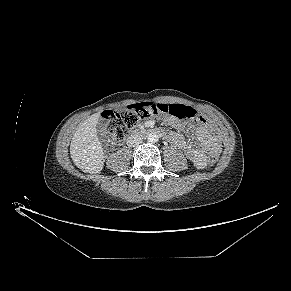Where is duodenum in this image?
<instances>
[{
    "label": "duodenum",
    "mask_w": 291,
    "mask_h": 291,
    "mask_svg": "<svg viewBox=\"0 0 291 291\" xmlns=\"http://www.w3.org/2000/svg\"><path fill=\"white\" fill-rule=\"evenodd\" d=\"M154 132H159L157 130H153V129H140L138 130L136 133L139 134V135H148L150 133H154Z\"/></svg>",
    "instance_id": "1"
}]
</instances>
